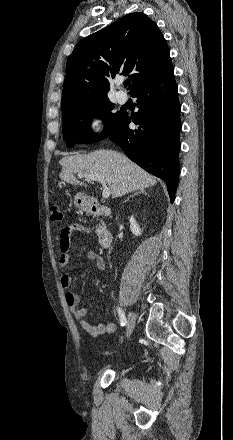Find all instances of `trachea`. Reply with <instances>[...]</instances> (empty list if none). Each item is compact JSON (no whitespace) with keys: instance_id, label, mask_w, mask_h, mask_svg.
<instances>
[{"instance_id":"trachea-1","label":"trachea","mask_w":233,"mask_h":440,"mask_svg":"<svg viewBox=\"0 0 233 440\" xmlns=\"http://www.w3.org/2000/svg\"><path fill=\"white\" fill-rule=\"evenodd\" d=\"M130 84H131L130 81H125V82H124V86H125V87L129 86Z\"/></svg>"}]
</instances>
